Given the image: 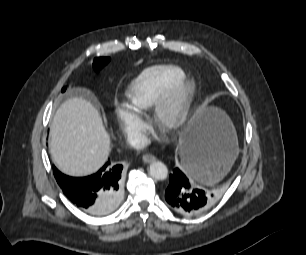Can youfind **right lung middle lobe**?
Segmentation results:
<instances>
[{
  "label": "right lung middle lobe",
  "mask_w": 306,
  "mask_h": 255,
  "mask_svg": "<svg viewBox=\"0 0 306 255\" xmlns=\"http://www.w3.org/2000/svg\"><path fill=\"white\" fill-rule=\"evenodd\" d=\"M110 61L109 57H99L95 58L93 62V67L95 70H100L103 66H105ZM66 88L62 89V92H64Z\"/></svg>",
  "instance_id": "right-lung-middle-lobe-1"
}]
</instances>
